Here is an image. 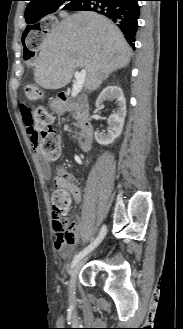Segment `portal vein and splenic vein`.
<instances>
[{
  "mask_svg": "<svg viewBox=\"0 0 183 329\" xmlns=\"http://www.w3.org/2000/svg\"><path fill=\"white\" fill-rule=\"evenodd\" d=\"M75 81L72 86L71 97L74 98L80 92L83 87L84 80L86 77V69H82L80 72H74Z\"/></svg>",
  "mask_w": 183,
  "mask_h": 329,
  "instance_id": "obj_1",
  "label": "portal vein and splenic vein"
}]
</instances>
